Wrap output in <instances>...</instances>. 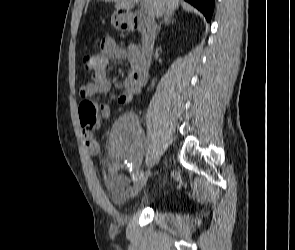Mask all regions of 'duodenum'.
<instances>
[{
  "instance_id": "duodenum-1",
  "label": "duodenum",
  "mask_w": 295,
  "mask_h": 250,
  "mask_svg": "<svg viewBox=\"0 0 295 250\" xmlns=\"http://www.w3.org/2000/svg\"><path fill=\"white\" fill-rule=\"evenodd\" d=\"M121 19L127 22L129 29L141 32L143 34L141 53L136 59L134 73L138 80L143 83L148 76V57L151 55L157 34L156 24L145 14L121 10Z\"/></svg>"
}]
</instances>
